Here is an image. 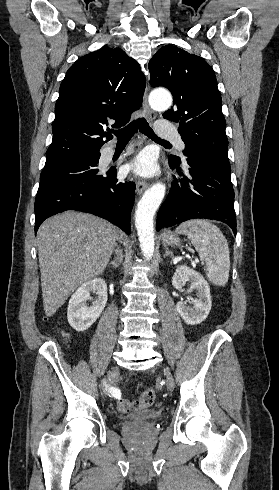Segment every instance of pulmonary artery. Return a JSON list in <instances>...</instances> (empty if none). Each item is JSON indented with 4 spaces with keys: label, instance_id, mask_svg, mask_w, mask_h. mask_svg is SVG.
Returning a JSON list of instances; mask_svg holds the SVG:
<instances>
[{
    "label": "pulmonary artery",
    "instance_id": "e3ab8cb5",
    "mask_svg": "<svg viewBox=\"0 0 279 490\" xmlns=\"http://www.w3.org/2000/svg\"><path fill=\"white\" fill-rule=\"evenodd\" d=\"M156 131H160L158 137L160 140H176L178 131L176 128H172L171 122H165L164 119H160L154 125ZM177 146L179 149L183 150L185 148L184 143L177 139Z\"/></svg>",
    "mask_w": 279,
    "mask_h": 490
}]
</instances>
